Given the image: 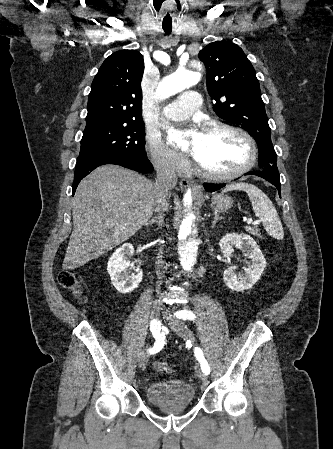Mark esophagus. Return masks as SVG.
I'll return each instance as SVG.
<instances>
[{
  "instance_id": "34e87169",
  "label": "esophagus",
  "mask_w": 333,
  "mask_h": 449,
  "mask_svg": "<svg viewBox=\"0 0 333 449\" xmlns=\"http://www.w3.org/2000/svg\"><path fill=\"white\" fill-rule=\"evenodd\" d=\"M191 182L189 181V180H187V179H181V181H180V186L182 187V188H189V187H191Z\"/></svg>"
}]
</instances>
